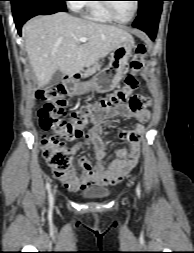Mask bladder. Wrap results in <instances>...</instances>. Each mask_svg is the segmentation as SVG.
<instances>
[{
    "instance_id": "31cf9c89",
    "label": "bladder",
    "mask_w": 194,
    "mask_h": 253,
    "mask_svg": "<svg viewBox=\"0 0 194 253\" xmlns=\"http://www.w3.org/2000/svg\"><path fill=\"white\" fill-rule=\"evenodd\" d=\"M111 193V190L105 186H94L82 191L80 197L85 200H105Z\"/></svg>"
}]
</instances>
